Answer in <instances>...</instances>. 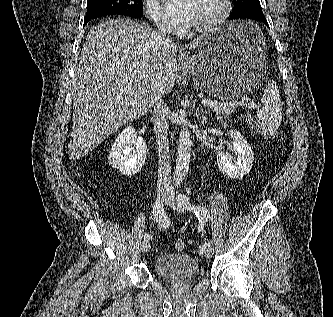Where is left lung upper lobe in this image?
Masks as SVG:
<instances>
[{
  "label": "left lung upper lobe",
  "mask_w": 333,
  "mask_h": 317,
  "mask_svg": "<svg viewBox=\"0 0 333 317\" xmlns=\"http://www.w3.org/2000/svg\"><path fill=\"white\" fill-rule=\"evenodd\" d=\"M234 3L233 16L251 11H262L259 0H232Z\"/></svg>",
  "instance_id": "left-lung-upper-lobe-1"
}]
</instances>
